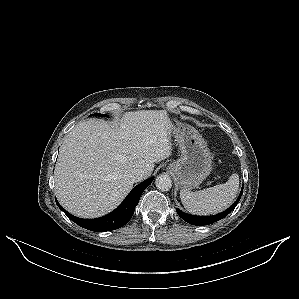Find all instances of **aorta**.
Returning a JSON list of instances; mask_svg holds the SVG:
<instances>
[{
  "label": "aorta",
  "mask_w": 299,
  "mask_h": 299,
  "mask_svg": "<svg viewBox=\"0 0 299 299\" xmlns=\"http://www.w3.org/2000/svg\"><path fill=\"white\" fill-rule=\"evenodd\" d=\"M155 185L160 191H168L172 187V180L168 175H159L155 180Z\"/></svg>",
  "instance_id": "obj_1"
}]
</instances>
